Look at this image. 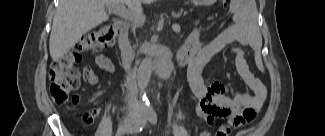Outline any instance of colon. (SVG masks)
<instances>
[{
    "instance_id": "5ec220e1",
    "label": "colon",
    "mask_w": 325,
    "mask_h": 136,
    "mask_svg": "<svg viewBox=\"0 0 325 136\" xmlns=\"http://www.w3.org/2000/svg\"><path fill=\"white\" fill-rule=\"evenodd\" d=\"M224 4L226 6L227 3ZM117 37L118 31L114 25L99 27L84 34L65 57L55 60L50 67L52 98L58 103L68 102L80 85V71L70 60L72 53L81 54L112 47ZM72 101L75 102L76 98L72 97ZM200 136H211V134L203 131Z\"/></svg>"
}]
</instances>
